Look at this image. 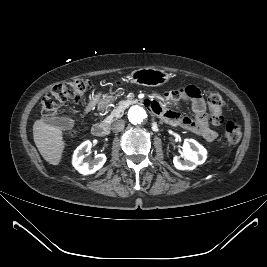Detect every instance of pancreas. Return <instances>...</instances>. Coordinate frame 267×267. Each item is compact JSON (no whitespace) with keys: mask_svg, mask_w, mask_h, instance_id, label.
I'll return each mask as SVG.
<instances>
[{"mask_svg":"<svg viewBox=\"0 0 267 267\" xmlns=\"http://www.w3.org/2000/svg\"><path fill=\"white\" fill-rule=\"evenodd\" d=\"M123 115V111L120 110V108L118 107L117 109H115L108 117H106V119L104 120L105 123H112L114 120L122 117Z\"/></svg>","mask_w":267,"mask_h":267,"instance_id":"pancreas-1","label":"pancreas"}]
</instances>
